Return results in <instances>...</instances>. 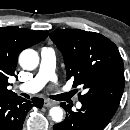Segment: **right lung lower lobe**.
<instances>
[{
    "label": "right lung lower lobe",
    "mask_w": 130,
    "mask_h": 130,
    "mask_svg": "<svg viewBox=\"0 0 130 130\" xmlns=\"http://www.w3.org/2000/svg\"><path fill=\"white\" fill-rule=\"evenodd\" d=\"M43 99L33 98L31 101L16 94L0 96V130H22L27 112L32 107L41 108Z\"/></svg>",
    "instance_id": "98d812e1"
}]
</instances>
